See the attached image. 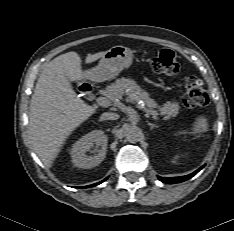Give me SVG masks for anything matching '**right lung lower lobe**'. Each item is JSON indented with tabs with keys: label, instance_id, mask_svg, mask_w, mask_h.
Returning a JSON list of instances; mask_svg holds the SVG:
<instances>
[{
	"label": "right lung lower lobe",
	"instance_id": "right-lung-lower-lobe-1",
	"mask_svg": "<svg viewBox=\"0 0 234 231\" xmlns=\"http://www.w3.org/2000/svg\"><path fill=\"white\" fill-rule=\"evenodd\" d=\"M103 181H104V180H103ZM103 181H101V182H98V183H96V184L89 185V186H84V187H81V188H87V187L96 186V185H98V184L102 183Z\"/></svg>",
	"mask_w": 234,
	"mask_h": 231
}]
</instances>
